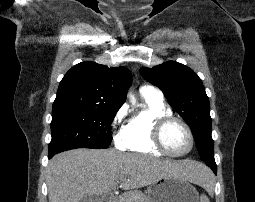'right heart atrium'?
Masks as SVG:
<instances>
[{
  "instance_id": "obj_1",
  "label": "right heart atrium",
  "mask_w": 255,
  "mask_h": 202,
  "mask_svg": "<svg viewBox=\"0 0 255 202\" xmlns=\"http://www.w3.org/2000/svg\"><path fill=\"white\" fill-rule=\"evenodd\" d=\"M126 112H127L126 106H121L117 110V112L115 113V115L112 119V122H111V126H112L113 130H115V129H117L121 126V124L124 120V117L126 115ZM114 142H115L117 147H119V148L124 147L123 128H120L119 132L114 135Z\"/></svg>"
}]
</instances>
